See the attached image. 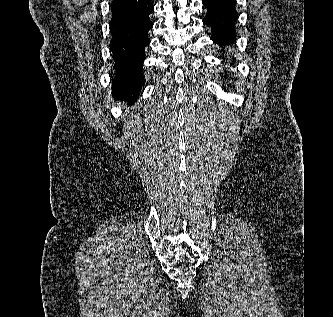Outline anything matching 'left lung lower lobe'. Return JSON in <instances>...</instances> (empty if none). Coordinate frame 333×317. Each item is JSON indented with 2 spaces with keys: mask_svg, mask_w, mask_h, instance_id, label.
<instances>
[{
  "mask_svg": "<svg viewBox=\"0 0 333 317\" xmlns=\"http://www.w3.org/2000/svg\"><path fill=\"white\" fill-rule=\"evenodd\" d=\"M202 4L207 9L203 23L211 28V39L224 48L232 45L236 41V0H202Z\"/></svg>",
  "mask_w": 333,
  "mask_h": 317,
  "instance_id": "left-lung-lower-lobe-1",
  "label": "left lung lower lobe"
}]
</instances>
